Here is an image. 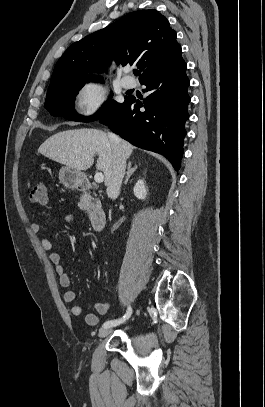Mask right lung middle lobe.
<instances>
[{
    "instance_id": "dd1d6c3e",
    "label": "right lung middle lobe",
    "mask_w": 265,
    "mask_h": 407,
    "mask_svg": "<svg viewBox=\"0 0 265 407\" xmlns=\"http://www.w3.org/2000/svg\"><path fill=\"white\" fill-rule=\"evenodd\" d=\"M86 81L80 82H58L49 85L46 96L45 108L53 116H61L68 120L90 122L103 117L116 108L120 103L110 99L100 108L99 112L90 117L77 115L74 111L75 97Z\"/></svg>"
}]
</instances>
